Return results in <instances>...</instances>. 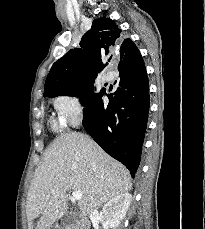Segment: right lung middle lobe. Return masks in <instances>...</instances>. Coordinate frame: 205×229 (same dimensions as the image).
Instances as JSON below:
<instances>
[{"label":"right lung middle lobe","instance_id":"obj_1","mask_svg":"<svg viewBox=\"0 0 205 229\" xmlns=\"http://www.w3.org/2000/svg\"><path fill=\"white\" fill-rule=\"evenodd\" d=\"M93 90H94L93 83H90V84H86V85H82L78 87L76 90L71 92L69 95L79 96L80 98H82V97L90 95Z\"/></svg>","mask_w":205,"mask_h":229}]
</instances>
